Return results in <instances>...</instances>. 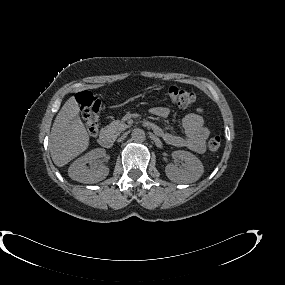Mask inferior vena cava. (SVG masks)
Returning <instances> with one entry per match:
<instances>
[{
    "label": "inferior vena cava",
    "mask_w": 285,
    "mask_h": 285,
    "mask_svg": "<svg viewBox=\"0 0 285 285\" xmlns=\"http://www.w3.org/2000/svg\"><path fill=\"white\" fill-rule=\"evenodd\" d=\"M116 143L117 144H122L123 143V138L122 137H117L116 138Z\"/></svg>",
    "instance_id": "obj_1"
}]
</instances>
